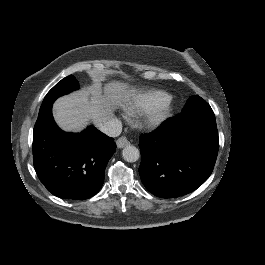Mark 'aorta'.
<instances>
[{"label": "aorta", "instance_id": "1", "mask_svg": "<svg viewBox=\"0 0 265 265\" xmlns=\"http://www.w3.org/2000/svg\"><path fill=\"white\" fill-rule=\"evenodd\" d=\"M122 156L127 162H136L140 157V153L135 146L129 144L128 146L124 147Z\"/></svg>", "mask_w": 265, "mask_h": 265}]
</instances>
